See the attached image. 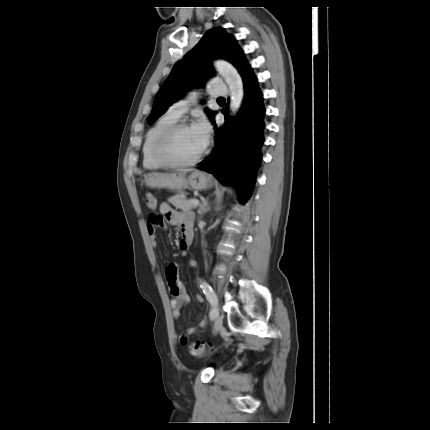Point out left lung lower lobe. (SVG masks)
Returning <instances> with one entry per match:
<instances>
[{
    "label": "left lung lower lobe",
    "mask_w": 430,
    "mask_h": 430,
    "mask_svg": "<svg viewBox=\"0 0 430 430\" xmlns=\"http://www.w3.org/2000/svg\"><path fill=\"white\" fill-rule=\"evenodd\" d=\"M242 79L245 94L241 111L231 120L228 107L222 111L225 124L216 132L214 151L198 169L213 174L223 184L236 186L240 203L244 204L252 192L261 160L264 107L255 76L246 72Z\"/></svg>",
    "instance_id": "1"
}]
</instances>
